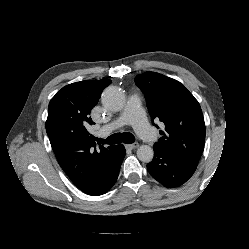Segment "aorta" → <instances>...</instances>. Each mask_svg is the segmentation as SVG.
Returning <instances> with one entry per match:
<instances>
[{
    "mask_svg": "<svg viewBox=\"0 0 249 249\" xmlns=\"http://www.w3.org/2000/svg\"><path fill=\"white\" fill-rule=\"evenodd\" d=\"M125 95L121 88L117 86H109L102 93V104L113 112H118L125 105ZM154 156L153 149L148 145H141L137 149V157L142 162L152 161Z\"/></svg>",
    "mask_w": 249,
    "mask_h": 249,
    "instance_id": "762f6f07",
    "label": "aorta"
}]
</instances>
